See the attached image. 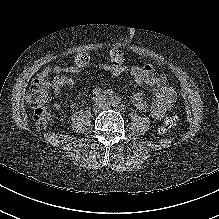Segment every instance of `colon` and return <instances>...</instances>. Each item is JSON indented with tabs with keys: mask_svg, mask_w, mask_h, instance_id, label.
Returning <instances> with one entry per match:
<instances>
[{
	"mask_svg": "<svg viewBox=\"0 0 219 219\" xmlns=\"http://www.w3.org/2000/svg\"><path fill=\"white\" fill-rule=\"evenodd\" d=\"M89 61V56L86 53L78 54L75 57V62L85 65ZM50 79L49 72H43L36 78L30 87L31 103L34 110V121L39 129L49 127L53 120L54 114L49 106L50 100ZM176 126V119L168 117L164 120L160 127L161 133H169Z\"/></svg>",
	"mask_w": 219,
	"mask_h": 219,
	"instance_id": "5ec220e1",
	"label": "colon"
}]
</instances>
